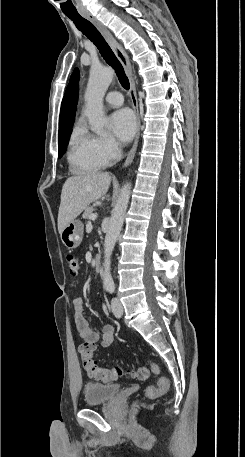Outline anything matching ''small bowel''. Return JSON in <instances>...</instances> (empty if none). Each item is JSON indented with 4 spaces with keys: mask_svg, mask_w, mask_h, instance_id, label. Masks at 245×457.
<instances>
[{
    "mask_svg": "<svg viewBox=\"0 0 245 457\" xmlns=\"http://www.w3.org/2000/svg\"><path fill=\"white\" fill-rule=\"evenodd\" d=\"M73 310L78 334L85 342L92 344L100 342L103 347H107L112 342L113 328L111 326H103L100 333L91 328L83 314L82 298L78 297L73 300Z\"/></svg>",
    "mask_w": 245,
    "mask_h": 457,
    "instance_id": "1",
    "label": "small bowel"
}]
</instances>
